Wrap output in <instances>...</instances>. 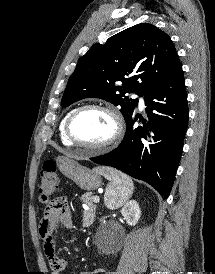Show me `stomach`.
Wrapping results in <instances>:
<instances>
[{
  "label": "stomach",
  "mask_w": 215,
  "mask_h": 274,
  "mask_svg": "<svg viewBox=\"0 0 215 274\" xmlns=\"http://www.w3.org/2000/svg\"><path fill=\"white\" fill-rule=\"evenodd\" d=\"M56 162L59 170L66 177L73 180L81 189L92 191L101 186L102 178L96 170H90L65 156L58 157Z\"/></svg>",
  "instance_id": "0dacf381"
}]
</instances>
